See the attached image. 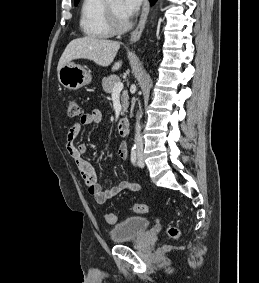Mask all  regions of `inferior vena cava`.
<instances>
[{
	"mask_svg": "<svg viewBox=\"0 0 259 283\" xmlns=\"http://www.w3.org/2000/svg\"><path fill=\"white\" fill-rule=\"evenodd\" d=\"M140 124H139V117L137 118V123H136V134H135V144L137 146V149L141 150L143 149V139L140 134Z\"/></svg>",
	"mask_w": 259,
	"mask_h": 283,
	"instance_id": "inferior-vena-cava-1",
	"label": "inferior vena cava"
}]
</instances>
